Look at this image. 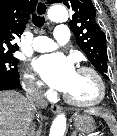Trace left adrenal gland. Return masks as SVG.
<instances>
[{
    "instance_id": "left-adrenal-gland-1",
    "label": "left adrenal gland",
    "mask_w": 117,
    "mask_h": 136,
    "mask_svg": "<svg viewBox=\"0 0 117 136\" xmlns=\"http://www.w3.org/2000/svg\"><path fill=\"white\" fill-rule=\"evenodd\" d=\"M71 136H76V131H74V132L71 134Z\"/></svg>"
}]
</instances>
